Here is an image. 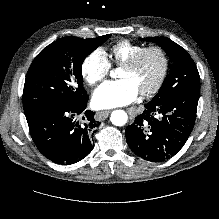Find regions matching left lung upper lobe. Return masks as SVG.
<instances>
[{"mask_svg": "<svg viewBox=\"0 0 219 219\" xmlns=\"http://www.w3.org/2000/svg\"><path fill=\"white\" fill-rule=\"evenodd\" d=\"M141 39L159 45L172 61L169 75H167L162 87L151 101L161 102L181 93L200 92V76L197 67L184 48L166 37Z\"/></svg>", "mask_w": 219, "mask_h": 219, "instance_id": "obj_1", "label": "left lung upper lobe"}]
</instances>
